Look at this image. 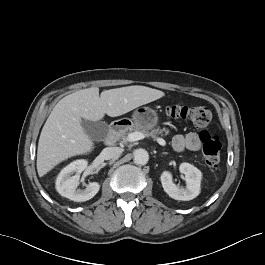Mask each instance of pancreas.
Returning a JSON list of instances; mask_svg holds the SVG:
<instances>
[{
  "label": "pancreas",
  "mask_w": 265,
  "mask_h": 265,
  "mask_svg": "<svg viewBox=\"0 0 265 265\" xmlns=\"http://www.w3.org/2000/svg\"><path fill=\"white\" fill-rule=\"evenodd\" d=\"M132 131H137V132H141L143 133V135L145 137H152V138H156L157 135H167L169 133V130L166 129V128H163V129H152L151 131L149 130H145V129H141L140 127H137V126H130L128 128V130H123L121 132H119L117 135H116V139L117 140H120L122 143H126L128 142L127 140V136L132 132Z\"/></svg>",
  "instance_id": "1"
}]
</instances>
